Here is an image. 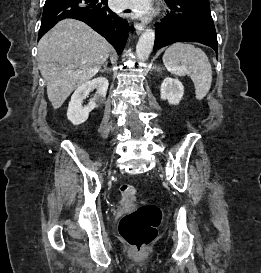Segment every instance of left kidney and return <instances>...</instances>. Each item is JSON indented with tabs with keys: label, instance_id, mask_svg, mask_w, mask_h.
<instances>
[{
	"label": "left kidney",
	"instance_id": "left-kidney-1",
	"mask_svg": "<svg viewBox=\"0 0 261 273\" xmlns=\"http://www.w3.org/2000/svg\"><path fill=\"white\" fill-rule=\"evenodd\" d=\"M184 94V87L178 79L167 77L161 84L160 95L162 100H167L169 104L177 105Z\"/></svg>",
	"mask_w": 261,
	"mask_h": 273
}]
</instances>
